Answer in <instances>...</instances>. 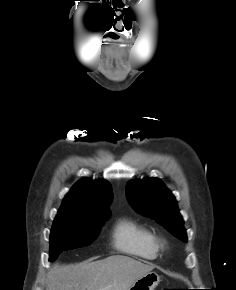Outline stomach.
<instances>
[{
	"mask_svg": "<svg viewBox=\"0 0 236 290\" xmlns=\"http://www.w3.org/2000/svg\"><path fill=\"white\" fill-rule=\"evenodd\" d=\"M160 282L156 272H149L137 279L128 290H154Z\"/></svg>",
	"mask_w": 236,
	"mask_h": 290,
	"instance_id": "0dacf381",
	"label": "stomach"
}]
</instances>
